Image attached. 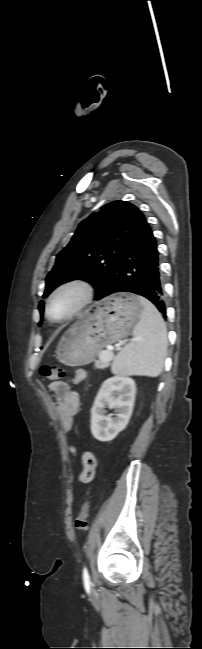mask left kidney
I'll list each match as a JSON object with an SVG mask.
<instances>
[{
  "mask_svg": "<svg viewBox=\"0 0 202 649\" xmlns=\"http://www.w3.org/2000/svg\"><path fill=\"white\" fill-rule=\"evenodd\" d=\"M136 394L132 378L115 375L106 379L91 409V432L102 442L113 440L128 424ZM115 409L116 417L106 416L105 408Z\"/></svg>",
  "mask_w": 202,
  "mask_h": 649,
  "instance_id": "1",
  "label": "left kidney"
}]
</instances>
